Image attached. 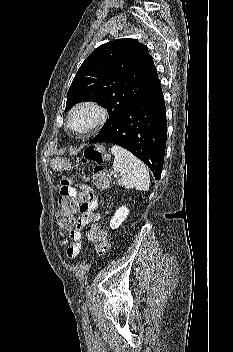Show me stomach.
Wrapping results in <instances>:
<instances>
[{
	"label": "stomach",
	"instance_id": "1",
	"mask_svg": "<svg viewBox=\"0 0 233 352\" xmlns=\"http://www.w3.org/2000/svg\"><path fill=\"white\" fill-rule=\"evenodd\" d=\"M51 165L53 166L54 169L62 170L67 166V161L62 158H55L51 161Z\"/></svg>",
	"mask_w": 233,
	"mask_h": 352
}]
</instances>
